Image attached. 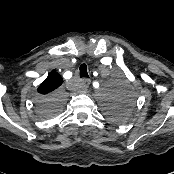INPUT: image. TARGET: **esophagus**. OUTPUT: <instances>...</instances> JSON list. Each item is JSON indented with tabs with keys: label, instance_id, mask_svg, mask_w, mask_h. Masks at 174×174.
Wrapping results in <instances>:
<instances>
[{
	"label": "esophagus",
	"instance_id": "esophagus-1",
	"mask_svg": "<svg viewBox=\"0 0 174 174\" xmlns=\"http://www.w3.org/2000/svg\"><path fill=\"white\" fill-rule=\"evenodd\" d=\"M90 83H91L90 79L84 78L81 80V86L85 90L89 87Z\"/></svg>",
	"mask_w": 174,
	"mask_h": 174
}]
</instances>
